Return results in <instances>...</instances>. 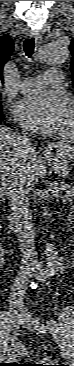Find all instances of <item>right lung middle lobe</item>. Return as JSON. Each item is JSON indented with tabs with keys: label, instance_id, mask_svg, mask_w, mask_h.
Instances as JSON below:
<instances>
[{
	"label": "right lung middle lobe",
	"instance_id": "right-lung-middle-lobe-1",
	"mask_svg": "<svg viewBox=\"0 0 74 366\" xmlns=\"http://www.w3.org/2000/svg\"><path fill=\"white\" fill-rule=\"evenodd\" d=\"M1 114H2V109H1V107H0V116H1Z\"/></svg>",
	"mask_w": 74,
	"mask_h": 366
}]
</instances>
